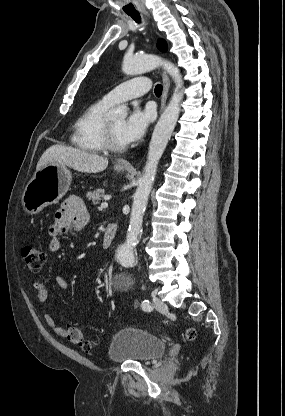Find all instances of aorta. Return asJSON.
Instances as JSON below:
<instances>
[{"instance_id":"762f6f07","label":"aorta","mask_w":285,"mask_h":416,"mask_svg":"<svg viewBox=\"0 0 285 416\" xmlns=\"http://www.w3.org/2000/svg\"><path fill=\"white\" fill-rule=\"evenodd\" d=\"M163 66L175 82V89L168 106L159 118L149 144L147 161L136 192L133 196L132 211L126 241L117 250V258L124 267H132L136 263L134 249L142 231L143 215L146 210L149 194L152 190L159 160L170 140L180 113L183 98L182 76L179 69L172 63L162 60L156 55L127 56L124 58L122 70L127 75H138ZM110 118H125L127 108H115L109 113Z\"/></svg>"}]
</instances>
